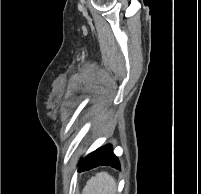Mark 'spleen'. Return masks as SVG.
I'll list each match as a JSON object with an SVG mask.
<instances>
[{"mask_svg":"<svg viewBox=\"0 0 201 194\" xmlns=\"http://www.w3.org/2000/svg\"><path fill=\"white\" fill-rule=\"evenodd\" d=\"M115 192V179L107 172H100L87 181L82 194H115Z\"/></svg>","mask_w":201,"mask_h":194,"instance_id":"1","label":"spleen"}]
</instances>
